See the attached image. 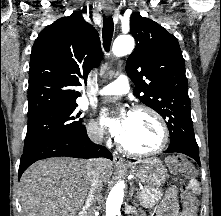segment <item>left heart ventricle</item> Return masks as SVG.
Instances as JSON below:
<instances>
[{"label":"left heart ventricle","instance_id":"b2bd125f","mask_svg":"<svg viewBox=\"0 0 221 216\" xmlns=\"http://www.w3.org/2000/svg\"><path fill=\"white\" fill-rule=\"evenodd\" d=\"M120 140L133 150H151L161 140L160 126L149 114L131 113L126 131Z\"/></svg>","mask_w":221,"mask_h":216}]
</instances>
